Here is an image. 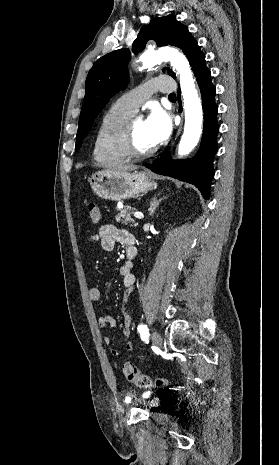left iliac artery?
Here are the masks:
<instances>
[{
  "label": "left iliac artery",
  "mask_w": 279,
  "mask_h": 465,
  "mask_svg": "<svg viewBox=\"0 0 279 465\" xmlns=\"http://www.w3.org/2000/svg\"><path fill=\"white\" fill-rule=\"evenodd\" d=\"M138 332L140 333L141 339L144 342H148L149 331H148L147 325H144V324L139 325Z\"/></svg>",
  "instance_id": "1"
}]
</instances>
